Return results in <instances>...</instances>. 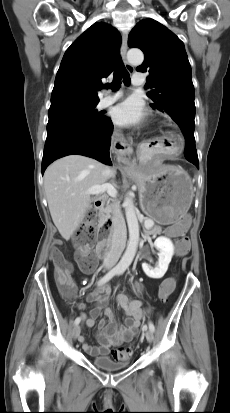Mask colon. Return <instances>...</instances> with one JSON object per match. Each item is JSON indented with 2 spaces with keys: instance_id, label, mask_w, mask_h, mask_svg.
Here are the masks:
<instances>
[{
  "instance_id": "obj_1",
  "label": "colon",
  "mask_w": 230,
  "mask_h": 413,
  "mask_svg": "<svg viewBox=\"0 0 230 413\" xmlns=\"http://www.w3.org/2000/svg\"><path fill=\"white\" fill-rule=\"evenodd\" d=\"M94 221L95 212L93 210H89L85 224H83L80 228L74 239V246L78 250V260L84 271L93 269L97 264L96 257L90 251V247L95 240ZM188 223V217L183 216L174 225L183 232L187 228ZM190 246L191 241L186 237L181 236L178 240L177 257L185 258L187 256L186 248H189ZM50 257L54 266V274L60 289L66 294L72 293L74 290V284L70 277V263L67 261L62 251L57 247H53L51 249ZM176 280L177 275L175 273H170L168 278L161 279L159 297L162 301H165L172 290H175ZM123 352L131 354V348H126Z\"/></svg>"
}]
</instances>
